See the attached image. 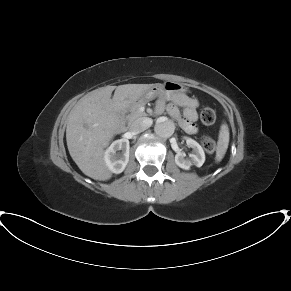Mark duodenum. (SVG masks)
I'll return each instance as SVG.
<instances>
[{
    "label": "duodenum",
    "instance_id": "duodenum-1",
    "mask_svg": "<svg viewBox=\"0 0 291 291\" xmlns=\"http://www.w3.org/2000/svg\"><path fill=\"white\" fill-rule=\"evenodd\" d=\"M121 113H122V109L121 108H116V110H115V123H114V127H115V130L117 132H121V131H123L125 129V124L123 122Z\"/></svg>",
    "mask_w": 291,
    "mask_h": 291
}]
</instances>
